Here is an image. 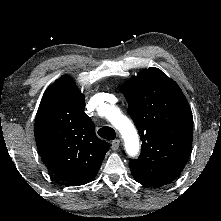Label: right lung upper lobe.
<instances>
[{"instance_id": "cb5924a9", "label": "right lung upper lobe", "mask_w": 221, "mask_h": 221, "mask_svg": "<svg viewBox=\"0 0 221 221\" xmlns=\"http://www.w3.org/2000/svg\"><path fill=\"white\" fill-rule=\"evenodd\" d=\"M84 106V95L75 81L63 75L45 91L34 125L43 162L71 186L90 182L109 150V144L96 136Z\"/></svg>"}]
</instances>
